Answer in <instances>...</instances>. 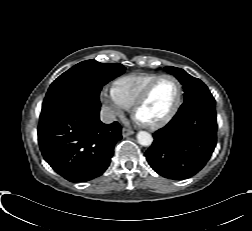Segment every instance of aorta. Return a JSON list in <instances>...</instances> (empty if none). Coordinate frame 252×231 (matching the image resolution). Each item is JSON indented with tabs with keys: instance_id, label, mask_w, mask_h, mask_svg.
Masks as SVG:
<instances>
[{
	"instance_id": "762f6f07",
	"label": "aorta",
	"mask_w": 252,
	"mask_h": 231,
	"mask_svg": "<svg viewBox=\"0 0 252 231\" xmlns=\"http://www.w3.org/2000/svg\"><path fill=\"white\" fill-rule=\"evenodd\" d=\"M137 141L142 146H150L153 142V137L146 131H139L137 133Z\"/></svg>"
}]
</instances>
